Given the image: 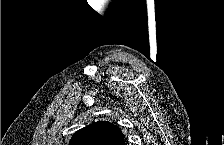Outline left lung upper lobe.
I'll return each mask as SVG.
<instances>
[{"label": "left lung upper lobe", "instance_id": "obj_1", "mask_svg": "<svg viewBox=\"0 0 224 145\" xmlns=\"http://www.w3.org/2000/svg\"><path fill=\"white\" fill-rule=\"evenodd\" d=\"M70 145H125L120 129L106 121L90 124L77 131Z\"/></svg>", "mask_w": 224, "mask_h": 145}]
</instances>
